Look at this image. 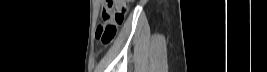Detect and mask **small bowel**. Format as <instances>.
<instances>
[{
  "instance_id": "obj_1",
  "label": "small bowel",
  "mask_w": 267,
  "mask_h": 72,
  "mask_svg": "<svg viewBox=\"0 0 267 72\" xmlns=\"http://www.w3.org/2000/svg\"><path fill=\"white\" fill-rule=\"evenodd\" d=\"M105 6V5H104ZM107 16V12L103 10L102 12V18L106 17Z\"/></svg>"
}]
</instances>
